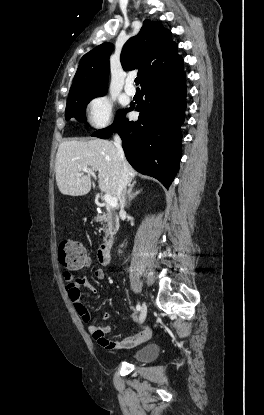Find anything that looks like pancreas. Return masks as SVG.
<instances>
[{
  "label": "pancreas",
  "instance_id": "pancreas-1",
  "mask_svg": "<svg viewBox=\"0 0 264 415\" xmlns=\"http://www.w3.org/2000/svg\"><path fill=\"white\" fill-rule=\"evenodd\" d=\"M98 220L105 223L104 233L106 237L116 233L118 228V218L112 210L107 209L106 212H103L98 216Z\"/></svg>",
  "mask_w": 264,
  "mask_h": 415
}]
</instances>
